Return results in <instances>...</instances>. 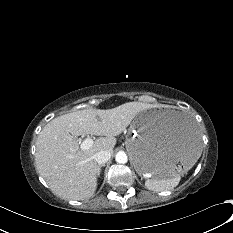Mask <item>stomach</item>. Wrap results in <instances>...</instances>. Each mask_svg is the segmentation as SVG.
Wrapping results in <instances>:
<instances>
[{
	"label": "stomach",
	"instance_id": "1",
	"mask_svg": "<svg viewBox=\"0 0 233 233\" xmlns=\"http://www.w3.org/2000/svg\"><path fill=\"white\" fill-rule=\"evenodd\" d=\"M126 147L140 175L168 178L188 170L201 153L194 121L182 111L144 110L126 135Z\"/></svg>",
	"mask_w": 233,
	"mask_h": 233
}]
</instances>
